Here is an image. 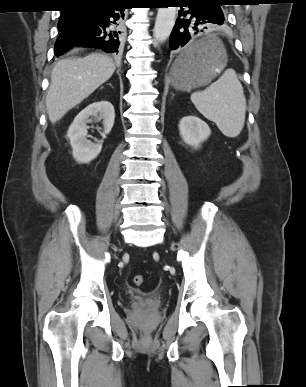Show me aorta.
I'll return each mask as SVG.
<instances>
[{
    "mask_svg": "<svg viewBox=\"0 0 306 387\" xmlns=\"http://www.w3.org/2000/svg\"><path fill=\"white\" fill-rule=\"evenodd\" d=\"M176 20V7H159L156 16L153 36L157 43L165 42L174 27Z\"/></svg>",
    "mask_w": 306,
    "mask_h": 387,
    "instance_id": "aorta-1",
    "label": "aorta"
}]
</instances>
